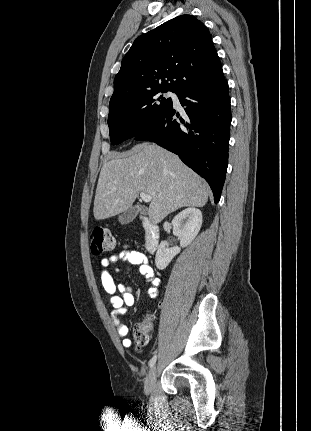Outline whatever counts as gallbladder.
Masks as SVG:
<instances>
[{"mask_svg":"<svg viewBox=\"0 0 311 431\" xmlns=\"http://www.w3.org/2000/svg\"><path fill=\"white\" fill-rule=\"evenodd\" d=\"M139 212H147V208H143V206H133V208H130L127 212L120 214V216H118V221L122 223V225L130 223V221H133V219L138 216Z\"/></svg>","mask_w":311,"mask_h":431,"instance_id":"gallbladder-1","label":"gallbladder"}]
</instances>
